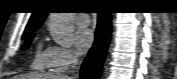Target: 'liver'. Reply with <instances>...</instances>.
Segmentation results:
<instances>
[{
  "mask_svg": "<svg viewBox=\"0 0 177 79\" xmlns=\"http://www.w3.org/2000/svg\"><path fill=\"white\" fill-rule=\"evenodd\" d=\"M16 79H69L67 76L60 74H36V75H23L18 76Z\"/></svg>",
  "mask_w": 177,
  "mask_h": 79,
  "instance_id": "1",
  "label": "liver"
}]
</instances>
